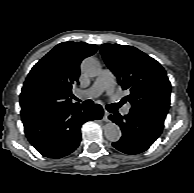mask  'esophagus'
<instances>
[{
    "label": "esophagus",
    "mask_w": 194,
    "mask_h": 193,
    "mask_svg": "<svg viewBox=\"0 0 194 193\" xmlns=\"http://www.w3.org/2000/svg\"><path fill=\"white\" fill-rule=\"evenodd\" d=\"M103 120L106 122L109 121V113L106 110L104 111Z\"/></svg>",
    "instance_id": "34e87169"
}]
</instances>
